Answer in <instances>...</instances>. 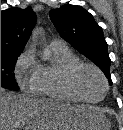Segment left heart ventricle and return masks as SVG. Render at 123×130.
<instances>
[{
    "mask_svg": "<svg viewBox=\"0 0 123 130\" xmlns=\"http://www.w3.org/2000/svg\"><path fill=\"white\" fill-rule=\"evenodd\" d=\"M78 85L90 99H98L104 92V84L99 75L91 69H83L78 75Z\"/></svg>",
    "mask_w": 123,
    "mask_h": 130,
    "instance_id": "b2bd125f",
    "label": "left heart ventricle"
}]
</instances>
